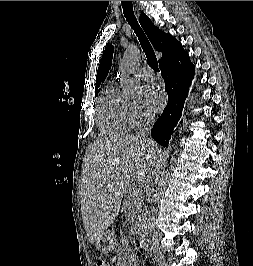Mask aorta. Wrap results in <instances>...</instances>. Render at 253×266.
Listing matches in <instances>:
<instances>
[{"label":"aorta","instance_id":"obj_1","mask_svg":"<svg viewBox=\"0 0 253 266\" xmlns=\"http://www.w3.org/2000/svg\"><path fill=\"white\" fill-rule=\"evenodd\" d=\"M140 59V50L136 46L129 47L125 53L123 60L120 64V73H121V85L126 97L134 98L140 95L141 93V85L138 79L135 77V68ZM175 137L174 135L170 140V147L165 151L166 158L169 157L170 152L172 151V147L174 148ZM167 167L165 160H163L158 166V172L156 177V185L162 179L163 172ZM158 195V187L155 186L151 190L150 199L151 203H155ZM152 206L146 208L142 215L143 224H147L148 216L151 213Z\"/></svg>","mask_w":253,"mask_h":266}]
</instances>
